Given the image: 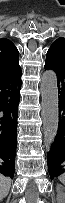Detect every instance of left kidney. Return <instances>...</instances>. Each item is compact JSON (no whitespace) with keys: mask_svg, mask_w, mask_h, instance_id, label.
Returning <instances> with one entry per match:
<instances>
[{"mask_svg":"<svg viewBox=\"0 0 65 203\" xmlns=\"http://www.w3.org/2000/svg\"><path fill=\"white\" fill-rule=\"evenodd\" d=\"M57 203H65V189L63 186H57Z\"/></svg>","mask_w":65,"mask_h":203,"instance_id":"left-kidney-1","label":"left kidney"}]
</instances>
